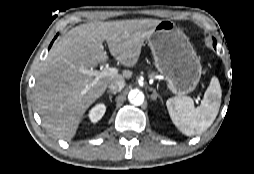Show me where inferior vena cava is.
Masks as SVG:
<instances>
[{"mask_svg":"<svg viewBox=\"0 0 254 174\" xmlns=\"http://www.w3.org/2000/svg\"><path fill=\"white\" fill-rule=\"evenodd\" d=\"M124 87H125L124 80H116V81L111 82L108 85V88L110 89V91H115V92L121 91Z\"/></svg>","mask_w":254,"mask_h":174,"instance_id":"1","label":"inferior vena cava"}]
</instances>
